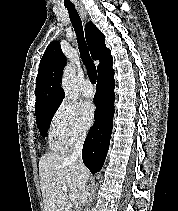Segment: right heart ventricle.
<instances>
[{
	"mask_svg": "<svg viewBox=\"0 0 178 211\" xmlns=\"http://www.w3.org/2000/svg\"><path fill=\"white\" fill-rule=\"evenodd\" d=\"M51 144L54 148L56 149H63V146L61 145V143L52 135V138H51Z\"/></svg>",
	"mask_w": 178,
	"mask_h": 211,
	"instance_id": "right-heart-ventricle-1",
	"label": "right heart ventricle"
}]
</instances>
